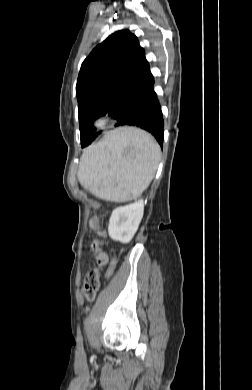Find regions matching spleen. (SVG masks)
<instances>
[{"label": "spleen", "instance_id": "1", "mask_svg": "<svg viewBox=\"0 0 252 390\" xmlns=\"http://www.w3.org/2000/svg\"><path fill=\"white\" fill-rule=\"evenodd\" d=\"M161 150L148 133L136 128L108 132L80 159V184L98 198L126 202L138 198L149 186Z\"/></svg>", "mask_w": 252, "mask_h": 390}]
</instances>
